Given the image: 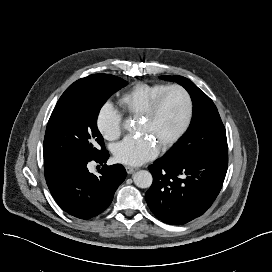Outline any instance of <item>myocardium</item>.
<instances>
[{
  "mask_svg": "<svg viewBox=\"0 0 272 272\" xmlns=\"http://www.w3.org/2000/svg\"><path fill=\"white\" fill-rule=\"evenodd\" d=\"M171 91H178L180 92L186 103V112H185V117L184 120L181 124V126L177 129V131L171 135L162 145H161V150L168 149L171 147L173 144H175L181 136L187 131V129L190 126V123L192 121L193 117V111H194V105H193V100L192 97L189 93V91L178 84L170 85L166 87L162 92H160L149 104L147 107L146 111L142 114L143 119H152L158 112L163 100L167 96L168 93Z\"/></svg>",
  "mask_w": 272,
  "mask_h": 272,
  "instance_id": "f54148a6",
  "label": "myocardium"
}]
</instances>
